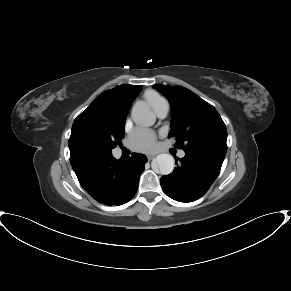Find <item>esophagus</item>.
<instances>
[{
    "instance_id": "esophagus-1",
    "label": "esophagus",
    "mask_w": 291,
    "mask_h": 291,
    "mask_svg": "<svg viewBox=\"0 0 291 291\" xmlns=\"http://www.w3.org/2000/svg\"><path fill=\"white\" fill-rule=\"evenodd\" d=\"M156 155L155 154H151V155H147L148 160H152Z\"/></svg>"
}]
</instances>
